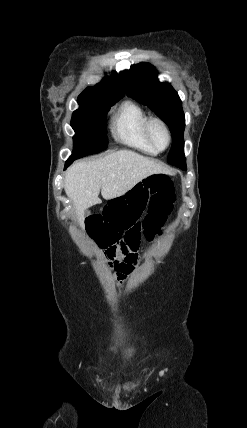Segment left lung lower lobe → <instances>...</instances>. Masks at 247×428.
I'll list each match as a JSON object with an SVG mask.
<instances>
[{"mask_svg": "<svg viewBox=\"0 0 247 428\" xmlns=\"http://www.w3.org/2000/svg\"><path fill=\"white\" fill-rule=\"evenodd\" d=\"M176 167H178V168H180L182 170H187L186 164H179V165H176Z\"/></svg>", "mask_w": 247, "mask_h": 428, "instance_id": "left-lung-lower-lobe-1", "label": "left lung lower lobe"}]
</instances>
